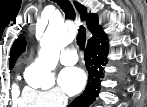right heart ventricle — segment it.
Listing matches in <instances>:
<instances>
[{
  "instance_id": "1",
  "label": "right heart ventricle",
  "mask_w": 147,
  "mask_h": 107,
  "mask_svg": "<svg viewBox=\"0 0 147 107\" xmlns=\"http://www.w3.org/2000/svg\"><path fill=\"white\" fill-rule=\"evenodd\" d=\"M13 101L19 107H34L35 102L31 95H27L26 92L20 94L17 86L13 87Z\"/></svg>"
}]
</instances>
